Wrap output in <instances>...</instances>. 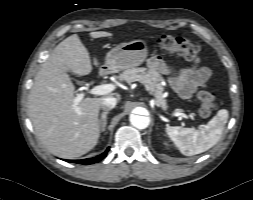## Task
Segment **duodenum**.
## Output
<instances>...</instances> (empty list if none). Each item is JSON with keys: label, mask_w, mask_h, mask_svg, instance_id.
I'll use <instances>...</instances> for the list:
<instances>
[{"label": "duodenum", "mask_w": 253, "mask_h": 200, "mask_svg": "<svg viewBox=\"0 0 253 200\" xmlns=\"http://www.w3.org/2000/svg\"><path fill=\"white\" fill-rule=\"evenodd\" d=\"M106 73V69H101L100 71H99V74L100 75H104Z\"/></svg>", "instance_id": "410a0bca"}]
</instances>
